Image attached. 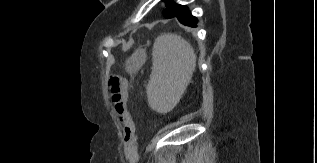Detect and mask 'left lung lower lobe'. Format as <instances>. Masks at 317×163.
Segmentation results:
<instances>
[{"label": "left lung lower lobe", "mask_w": 317, "mask_h": 163, "mask_svg": "<svg viewBox=\"0 0 317 163\" xmlns=\"http://www.w3.org/2000/svg\"><path fill=\"white\" fill-rule=\"evenodd\" d=\"M177 17V19L184 25L190 26V27H196L197 19L196 17L191 15V12L187 9L186 6H181V8L178 10V12L170 16L168 18Z\"/></svg>", "instance_id": "0a47b994"}]
</instances>
